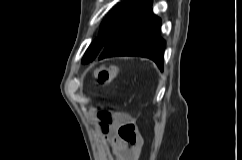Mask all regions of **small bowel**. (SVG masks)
I'll return each instance as SVG.
<instances>
[{"mask_svg": "<svg viewBox=\"0 0 242 160\" xmlns=\"http://www.w3.org/2000/svg\"><path fill=\"white\" fill-rule=\"evenodd\" d=\"M129 125H133L130 118L119 114L115 116L110 126L104 127L105 139L110 142L117 160H138L142 151L144 142L137 130H135L134 141L124 137V131Z\"/></svg>", "mask_w": 242, "mask_h": 160, "instance_id": "obj_1", "label": "small bowel"}]
</instances>
